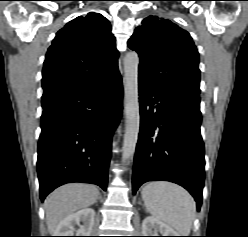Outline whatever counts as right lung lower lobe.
I'll use <instances>...</instances> for the list:
<instances>
[{
  "mask_svg": "<svg viewBox=\"0 0 248 237\" xmlns=\"http://www.w3.org/2000/svg\"><path fill=\"white\" fill-rule=\"evenodd\" d=\"M117 70L81 88L42 97L37 172L40 198L70 182L106 190L112 135L122 114Z\"/></svg>",
  "mask_w": 248,
  "mask_h": 237,
  "instance_id": "right-lung-lower-lobe-1",
  "label": "right lung lower lobe"
}]
</instances>
